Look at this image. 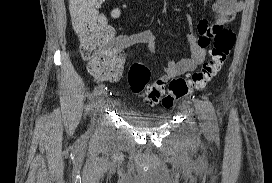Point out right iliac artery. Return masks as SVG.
<instances>
[{"mask_svg": "<svg viewBox=\"0 0 272 183\" xmlns=\"http://www.w3.org/2000/svg\"><path fill=\"white\" fill-rule=\"evenodd\" d=\"M105 90V86L103 84H100L94 88L93 95L97 96L103 93Z\"/></svg>", "mask_w": 272, "mask_h": 183, "instance_id": "82829eb1", "label": "right iliac artery"}]
</instances>
